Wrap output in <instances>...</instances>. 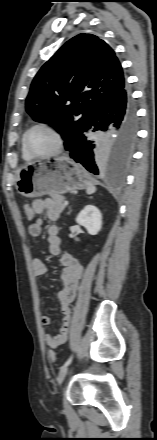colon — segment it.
<instances>
[{
	"instance_id": "1",
	"label": "colon",
	"mask_w": 157,
	"mask_h": 440,
	"mask_svg": "<svg viewBox=\"0 0 157 440\" xmlns=\"http://www.w3.org/2000/svg\"><path fill=\"white\" fill-rule=\"evenodd\" d=\"M23 211H24V215H25V217H26L28 220H32V219L34 218L35 213H34L33 208H32L31 205H29V204H25V205L23 206ZM48 359H49V361L52 362V363L56 361V353H55V351L50 350V351L48 352Z\"/></svg>"
}]
</instances>
